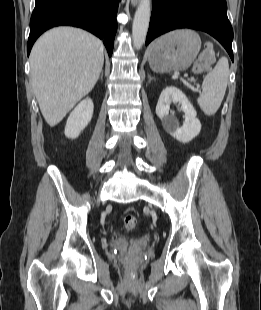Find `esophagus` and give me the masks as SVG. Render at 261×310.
Listing matches in <instances>:
<instances>
[{"label":"esophagus","instance_id":"1","mask_svg":"<svg viewBox=\"0 0 261 310\" xmlns=\"http://www.w3.org/2000/svg\"><path fill=\"white\" fill-rule=\"evenodd\" d=\"M139 1H140V0H131L132 6L138 5Z\"/></svg>","mask_w":261,"mask_h":310}]
</instances>
